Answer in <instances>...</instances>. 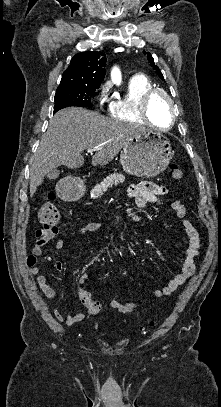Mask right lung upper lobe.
I'll return each instance as SVG.
<instances>
[{
  "label": "right lung upper lobe",
  "mask_w": 221,
  "mask_h": 407,
  "mask_svg": "<svg viewBox=\"0 0 221 407\" xmlns=\"http://www.w3.org/2000/svg\"><path fill=\"white\" fill-rule=\"evenodd\" d=\"M106 56L97 51L76 54L63 72L58 88H98L105 76Z\"/></svg>",
  "instance_id": "right-lung-upper-lobe-1"
}]
</instances>
